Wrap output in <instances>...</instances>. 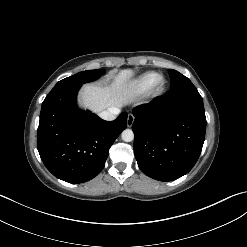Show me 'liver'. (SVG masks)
Returning <instances> with one entry per match:
<instances>
[{"instance_id":"obj_1","label":"liver","mask_w":247,"mask_h":247,"mask_svg":"<svg viewBox=\"0 0 247 247\" xmlns=\"http://www.w3.org/2000/svg\"><path fill=\"white\" fill-rule=\"evenodd\" d=\"M132 77L133 71L126 69L120 71L110 85L86 84L80 92V101L94 113L129 104L134 100Z\"/></svg>"}]
</instances>
